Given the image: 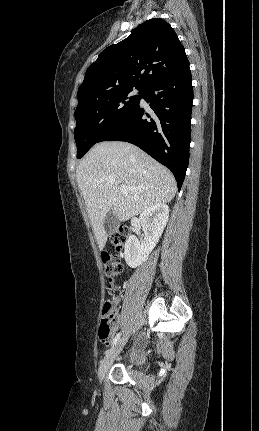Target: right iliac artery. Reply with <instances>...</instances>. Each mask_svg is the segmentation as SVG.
Masks as SVG:
<instances>
[{
	"mask_svg": "<svg viewBox=\"0 0 259 431\" xmlns=\"http://www.w3.org/2000/svg\"><path fill=\"white\" fill-rule=\"evenodd\" d=\"M121 333H118L112 341V346H114L120 339Z\"/></svg>",
	"mask_w": 259,
	"mask_h": 431,
	"instance_id": "obj_1",
	"label": "right iliac artery"
}]
</instances>
